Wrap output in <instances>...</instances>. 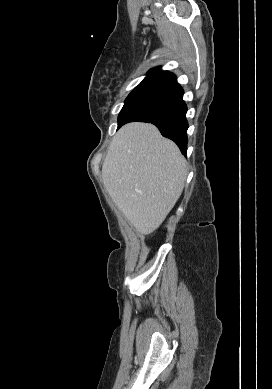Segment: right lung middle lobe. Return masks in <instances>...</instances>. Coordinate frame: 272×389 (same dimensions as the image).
Instances as JSON below:
<instances>
[{
  "label": "right lung middle lobe",
  "instance_id": "dd1d6c3e",
  "mask_svg": "<svg viewBox=\"0 0 272 389\" xmlns=\"http://www.w3.org/2000/svg\"><path fill=\"white\" fill-rule=\"evenodd\" d=\"M161 88V86L155 84H139L134 88L125 100L124 106L118 116V124L136 105Z\"/></svg>",
  "mask_w": 272,
  "mask_h": 389
}]
</instances>
